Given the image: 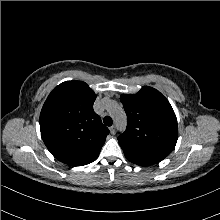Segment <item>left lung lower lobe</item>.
Returning a JSON list of instances; mask_svg holds the SVG:
<instances>
[{
	"label": "left lung lower lobe",
	"mask_w": 220,
	"mask_h": 220,
	"mask_svg": "<svg viewBox=\"0 0 220 220\" xmlns=\"http://www.w3.org/2000/svg\"><path fill=\"white\" fill-rule=\"evenodd\" d=\"M127 159H128V158H127ZM128 160L131 161V162H133V163H135V164L142 165L141 163L134 162V161H132L131 159H128ZM143 166H145V165H143Z\"/></svg>",
	"instance_id": "obj_1"
}]
</instances>
